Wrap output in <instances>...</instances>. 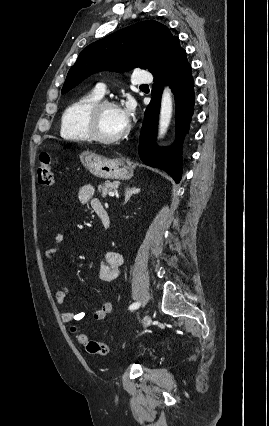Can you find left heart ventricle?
<instances>
[{
    "label": "left heart ventricle",
    "mask_w": 269,
    "mask_h": 426,
    "mask_svg": "<svg viewBox=\"0 0 269 426\" xmlns=\"http://www.w3.org/2000/svg\"><path fill=\"white\" fill-rule=\"evenodd\" d=\"M126 126L119 108L107 107L102 110L98 121L99 132L102 136L116 137L125 130Z\"/></svg>",
    "instance_id": "obj_1"
}]
</instances>
